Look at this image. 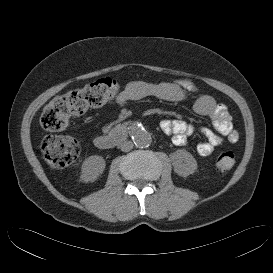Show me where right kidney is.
Masks as SVG:
<instances>
[{"label":"right kidney","mask_w":273,"mask_h":273,"mask_svg":"<svg viewBox=\"0 0 273 273\" xmlns=\"http://www.w3.org/2000/svg\"><path fill=\"white\" fill-rule=\"evenodd\" d=\"M106 166L105 160L98 155H92L86 158L82 164L81 178L85 182L95 181L104 171Z\"/></svg>","instance_id":"obj_1"}]
</instances>
